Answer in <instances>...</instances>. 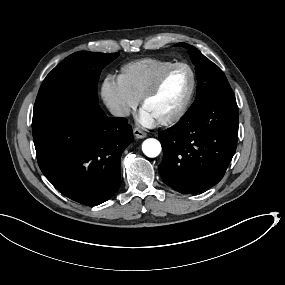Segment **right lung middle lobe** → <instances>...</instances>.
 Listing matches in <instances>:
<instances>
[{
    "instance_id": "obj_1",
    "label": "right lung middle lobe",
    "mask_w": 285,
    "mask_h": 285,
    "mask_svg": "<svg viewBox=\"0 0 285 285\" xmlns=\"http://www.w3.org/2000/svg\"><path fill=\"white\" fill-rule=\"evenodd\" d=\"M118 56L119 53L94 52H76L68 56L44 79L34 108L67 95L97 102V82L101 70Z\"/></svg>"
}]
</instances>
